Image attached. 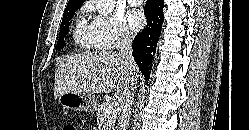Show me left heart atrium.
I'll return each instance as SVG.
<instances>
[{
	"label": "left heart atrium",
	"mask_w": 249,
	"mask_h": 130,
	"mask_svg": "<svg viewBox=\"0 0 249 130\" xmlns=\"http://www.w3.org/2000/svg\"><path fill=\"white\" fill-rule=\"evenodd\" d=\"M129 22L133 29H141L145 23L144 15L140 11H131L128 15Z\"/></svg>",
	"instance_id": "39dd6f15"
}]
</instances>
